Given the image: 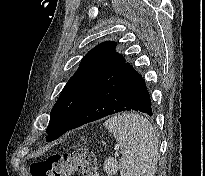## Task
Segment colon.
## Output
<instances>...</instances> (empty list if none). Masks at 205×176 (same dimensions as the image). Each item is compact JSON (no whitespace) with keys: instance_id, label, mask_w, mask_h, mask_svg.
I'll use <instances>...</instances> for the list:
<instances>
[{"instance_id":"5ec220e1","label":"colon","mask_w":205,"mask_h":176,"mask_svg":"<svg viewBox=\"0 0 205 176\" xmlns=\"http://www.w3.org/2000/svg\"><path fill=\"white\" fill-rule=\"evenodd\" d=\"M32 176H72L79 172L82 176H100L93 152L82 148L74 152L56 153L31 164Z\"/></svg>"}]
</instances>
